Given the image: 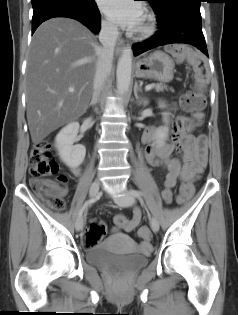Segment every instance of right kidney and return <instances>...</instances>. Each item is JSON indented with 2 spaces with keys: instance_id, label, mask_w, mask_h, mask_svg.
<instances>
[{
  "instance_id": "obj_1",
  "label": "right kidney",
  "mask_w": 238,
  "mask_h": 315,
  "mask_svg": "<svg viewBox=\"0 0 238 315\" xmlns=\"http://www.w3.org/2000/svg\"><path fill=\"white\" fill-rule=\"evenodd\" d=\"M79 123L72 122L61 129L55 138V147L61 160L70 168L78 167L84 160L86 148L74 143L77 140Z\"/></svg>"
}]
</instances>
